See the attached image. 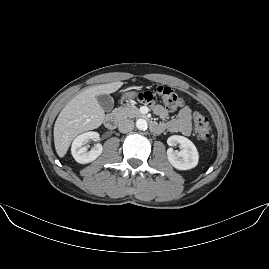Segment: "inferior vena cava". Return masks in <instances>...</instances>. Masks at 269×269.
Returning <instances> with one entry per match:
<instances>
[{
    "label": "inferior vena cava",
    "mask_w": 269,
    "mask_h": 269,
    "mask_svg": "<svg viewBox=\"0 0 269 269\" xmlns=\"http://www.w3.org/2000/svg\"><path fill=\"white\" fill-rule=\"evenodd\" d=\"M134 122L129 119H124L118 124V129L121 133H127L133 130Z\"/></svg>",
    "instance_id": "602c4592"
}]
</instances>
